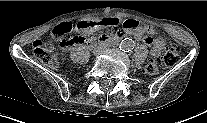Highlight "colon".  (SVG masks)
Segmentation results:
<instances>
[{
	"instance_id": "1",
	"label": "colon",
	"mask_w": 207,
	"mask_h": 123,
	"mask_svg": "<svg viewBox=\"0 0 207 123\" xmlns=\"http://www.w3.org/2000/svg\"><path fill=\"white\" fill-rule=\"evenodd\" d=\"M125 23V22H124ZM72 26L70 23L64 22L57 25L53 29V37L60 41L63 46H69L84 41L83 37L71 36ZM34 55L43 63L57 67L58 61L53 54V46L46 41H35L33 44ZM180 48L177 44H171L161 58H155L148 62L146 72L149 75L157 74L163 67H173L179 61Z\"/></svg>"
}]
</instances>
